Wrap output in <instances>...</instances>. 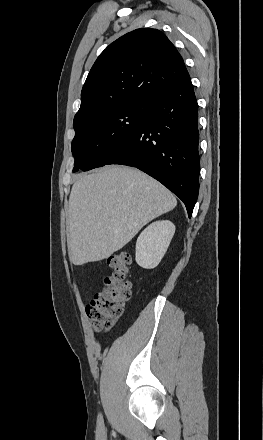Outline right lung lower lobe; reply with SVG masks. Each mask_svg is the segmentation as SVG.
I'll use <instances>...</instances> for the list:
<instances>
[{
  "label": "right lung lower lobe",
  "instance_id": "1",
  "mask_svg": "<svg viewBox=\"0 0 263 440\" xmlns=\"http://www.w3.org/2000/svg\"><path fill=\"white\" fill-rule=\"evenodd\" d=\"M146 108L143 121L107 164L136 167L157 179L183 201L190 218L200 170L198 106L190 77L150 98Z\"/></svg>",
  "mask_w": 263,
  "mask_h": 440
}]
</instances>
